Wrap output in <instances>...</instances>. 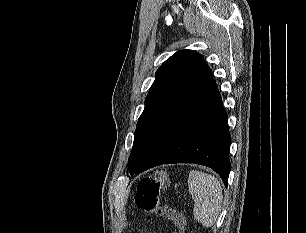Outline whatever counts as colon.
Listing matches in <instances>:
<instances>
[{
	"instance_id": "obj_1",
	"label": "colon",
	"mask_w": 306,
	"mask_h": 233,
	"mask_svg": "<svg viewBox=\"0 0 306 233\" xmlns=\"http://www.w3.org/2000/svg\"><path fill=\"white\" fill-rule=\"evenodd\" d=\"M166 183L167 171L165 169H157L143 178L137 185L136 205L146 212L171 220L175 225L176 233H186L184 215L161 200V189Z\"/></svg>"
}]
</instances>
